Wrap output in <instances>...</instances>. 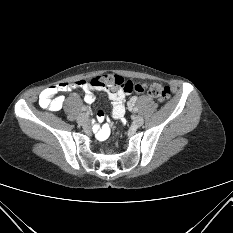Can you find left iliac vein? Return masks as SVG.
I'll return each mask as SVG.
<instances>
[{
    "label": "left iliac vein",
    "mask_w": 233,
    "mask_h": 233,
    "mask_svg": "<svg viewBox=\"0 0 233 233\" xmlns=\"http://www.w3.org/2000/svg\"><path fill=\"white\" fill-rule=\"evenodd\" d=\"M133 123L137 127H141L144 124V120L141 116H135Z\"/></svg>",
    "instance_id": "left-iliac-vein-1"
}]
</instances>
